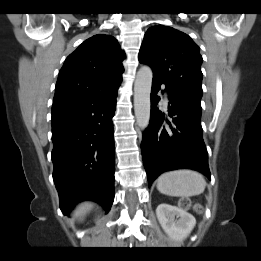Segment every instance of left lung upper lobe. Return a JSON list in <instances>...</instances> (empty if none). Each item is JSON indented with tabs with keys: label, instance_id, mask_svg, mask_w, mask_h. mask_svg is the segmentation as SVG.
Wrapping results in <instances>:
<instances>
[{
	"label": "left lung upper lobe",
	"instance_id": "5c2ea615",
	"mask_svg": "<svg viewBox=\"0 0 261 261\" xmlns=\"http://www.w3.org/2000/svg\"><path fill=\"white\" fill-rule=\"evenodd\" d=\"M139 61L152 68L153 79L201 99L203 59L198 45L187 34L164 25L149 28Z\"/></svg>",
	"mask_w": 261,
	"mask_h": 261
}]
</instances>
